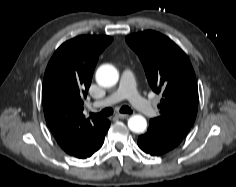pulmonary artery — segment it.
Listing matches in <instances>:
<instances>
[{"instance_id":"1","label":"pulmonary artery","mask_w":236,"mask_h":187,"mask_svg":"<svg viewBox=\"0 0 236 187\" xmlns=\"http://www.w3.org/2000/svg\"><path fill=\"white\" fill-rule=\"evenodd\" d=\"M123 99H128L134 108L147 117H154L156 115L154 105L141 97L138 93L136 89L135 73L130 68H126L123 71L121 82L117 90L105 99L96 102L95 106L106 107Z\"/></svg>"}]
</instances>
